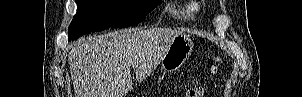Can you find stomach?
Listing matches in <instances>:
<instances>
[{"mask_svg": "<svg viewBox=\"0 0 302 97\" xmlns=\"http://www.w3.org/2000/svg\"><path fill=\"white\" fill-rule=\"evenodd\" d=\"M193 49V42L186 34L176 36L168 46L161 59V67L165 72L178 70L187 60Z\"/></svg>", "mask_w": 302, "mask_h": 97, "instance_id": "0dacf381", "label": "stomach"}]
</instances>
